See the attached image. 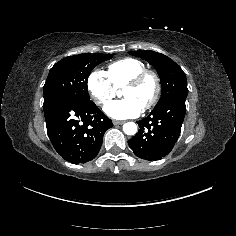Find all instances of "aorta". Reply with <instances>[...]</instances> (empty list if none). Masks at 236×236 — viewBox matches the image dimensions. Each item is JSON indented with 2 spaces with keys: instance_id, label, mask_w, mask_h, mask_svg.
Here are the masks:
<instances>
[{
  "instance_id": "762f6f07",
  "label": "aorta",
  "mask_w": 236,
  "mask_h": 236,
  "mask_svg": "<svg viewBox=\"0 0 236 236\" xmlns=\"http://www.w3.org/2000/svg\"><path fill=\"white\" fill-rule=\"evenodd\" d=\"M123 131L127 135H134L137 132V125L134 122H127L123 125Z\"/></svg>"
}]
</instances>
